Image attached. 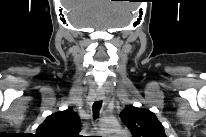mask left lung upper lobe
<instances>
[{"label": "left lung upper lobe", "mask_w": 206, "mask_h": 137, "mask_svg": "<svg viewBox=\"0 0 206 137\" xmlns=\"http://www.w3.org/2000/svg\"><path fill=\"white\" fill-rule=\"evenodd\" d=\"M120 117L133 137H167L156 115L147 109L127 106Z\"/></svg>", "instance_id": "obj_1"}]
</instances>
